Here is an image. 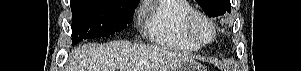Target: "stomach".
Returning a JSON list of instances; mask_svg holds the SVG:
<instances>
[{
    "mask_svg": "<svg viewBox=\"0 0 301 71\" xmlns=\"http://www.w3.org/2000/svg\"><path fill=\"white\" fill-rule=\"evenodd\" d=\"M174 71H205L203 66L194 60H188L179 65Z\"/></svg>",
    "mask_w": 301,
    "mask_h": 71,
    "instance_id": "0dacf381",
    "label": "stomach"
}]
</instances>
